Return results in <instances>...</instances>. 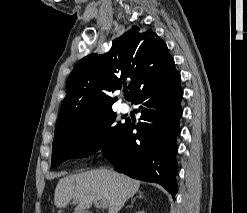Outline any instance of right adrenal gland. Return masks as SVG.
<instances>
[{"label": "right adrenal gland", "instance_id": "obj_1", "mask_svg": "<svg viewBox=\"0 0 247 213\" xmlns=\"http://www.w3.org/2000/svg\"><path fill=\"white\" fill-rule=\"evenodd\" d=\"M136 198H143V194L141 192L138 193V196L134 197L132 200H131V206L133 205V203L135 202Z\"/></svg>", "mask_w": 247, "mask_h": 213}]
</instances>
